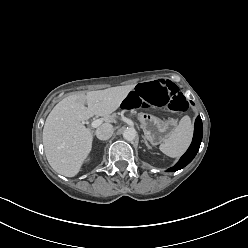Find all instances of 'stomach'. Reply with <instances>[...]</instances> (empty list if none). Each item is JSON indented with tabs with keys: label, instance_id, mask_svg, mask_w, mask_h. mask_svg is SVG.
Listing matches in <instances>:
<instances>
[{
	"label": "stomach",
	"instance_id": "stomach-1",
	"mask_svg": "<svg viewBox=\"0 0 248 248\" xmlns=\"http://www.w3.org/2000/svg\"><path fill=\"white\" fill-rule=\"evenodd\" d=\"M139 121L143 128L146 139L152 145L165 142L176 128V121L172 118L160 119L148 113H141Z\"/></svg>",
	"mask_w": 248,
	"mask_h": 248
}]
</instances>
